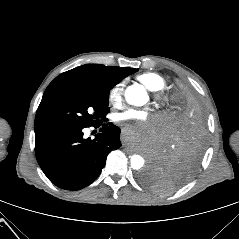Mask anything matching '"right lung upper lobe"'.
<instances>
[{
	"label": "right lung upper lobe",
	"instance_id": "right-lung-upper-lobe-1",
	"mask_svg": "<svg viewBox=\"0 0 239 239\" xmlns=\"http://www.w3.org/2000/svg\"><path fill=\"white\" fill-rule=\"evenodd\" d=\"M137 71V69L128 67L86 64L57 76L44 93L64 86L116 85L128 75Z\"/></svg>",
	"mask_w": 239,
	"mask_h": 239
}]
</instances>
